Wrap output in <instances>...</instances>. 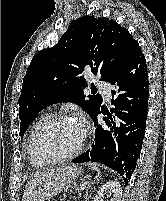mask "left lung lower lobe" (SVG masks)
Masks as SVG:
<instances>
[{
	"instance_id": "1",
	"label": "left lung lower lobe",
	"mask_w": 166,
	"mask_h": 201,
	"mask_svg": "<svg viewBox=\"0 0 166 201\" xmlns=\"http://www.w3.org/2000/svg\"><path fill=\"white\" fill-rule=\"evenodd\" d=\"M118 94L111 112L101 111L92 118L96 126L92 148L73 160L74 163L99 162L116 170L125 184L136 168L145 134L148 112V73L144 54L137 43L123 66L109 81ZM116 94V91H112ZM114 98V95L112 96ZM103 113L105 126L98 124ZM112 113L115 117H112Z\"/></svg>"
}]
</instances>
